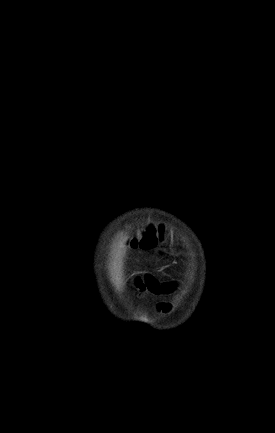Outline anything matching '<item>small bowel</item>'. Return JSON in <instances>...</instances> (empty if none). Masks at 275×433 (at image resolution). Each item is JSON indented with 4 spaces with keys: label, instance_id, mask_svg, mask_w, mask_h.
<instances>
[{
    "label": "small bowel",
    "instance_id": "1",
    "mask_svg": "<svg viewBox=\"0 0 275 433\" xmlns=\"http://www.w3.org/2000/svg\"><path fill=\"white\" fill-rule=\"evenodd\" d=\"M137 286L142 291L153 295H170L176 289L174 282H162L151 274H147L144 278L138 279Z\"/></svg>",
    "mask_w": 275,
    "mask_h": 433
}]
</instances>
